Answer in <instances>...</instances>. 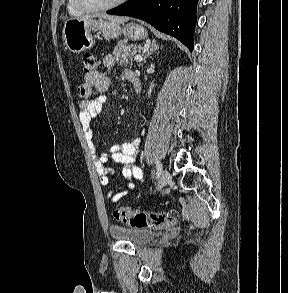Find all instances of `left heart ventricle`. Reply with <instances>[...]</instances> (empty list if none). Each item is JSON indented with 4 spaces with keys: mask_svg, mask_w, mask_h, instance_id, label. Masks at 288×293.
Wrapping results in <instances>:
<instances>
[{
    "mask_svg": "<svg viewBox=\"0 0 288 293\" xmlns=\"http://www.w3.org/2000/svg\"><path fill=\"white\" fill-rule=\"evenodd\" d=\"M85 3L89 4V5H105V4H109L112 3L116 0H83Z\"/></svg>",
    "mask_w": 288,
    "mask_h": 293,
    "instance_id": "left-heart-ventricle-1",
    "label": "left heart ventricle"
}]
</instances>
